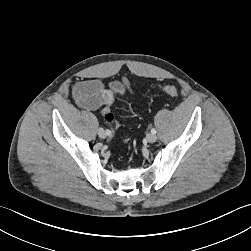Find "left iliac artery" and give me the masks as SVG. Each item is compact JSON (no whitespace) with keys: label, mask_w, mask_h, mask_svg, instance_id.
<instances>
[{"label":"left iliac artery","mask_w":251,"mask_h":251,"mask_svg":"<svg viewBox=\"0 0 251 251\" xmlns=\"http://www.w3.org/2000/svg\"><path fill=\"white\" fill-rule=\"evenodd\" d=\"M151 133L156 134V130H155V128H152V129H151Z\"/></svg>","instance_id":"44dca946"}]
</instances>
